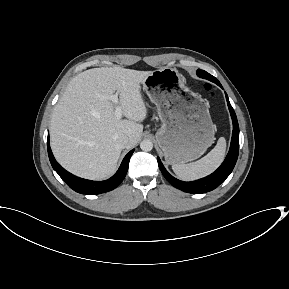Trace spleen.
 Here are the masks:
<instances>
[{
	"label": "spleen",
	"mask_w": 289,
	"mask_h": 289,
	"mask_svg": "<svg viewBox=\"0 0 289 289\" xmlns=\"http://www.w3.org/2000/svg\"><path fill=\"white\" fill-rule=\"evenodd\" d=\"M226 150V140L219 138L216 146L200 160L189 164H174L172 170L182 180L191 181L212 173L223 161Z\"/></svg>",
	"instance_id": "1"
}]
</instances>
